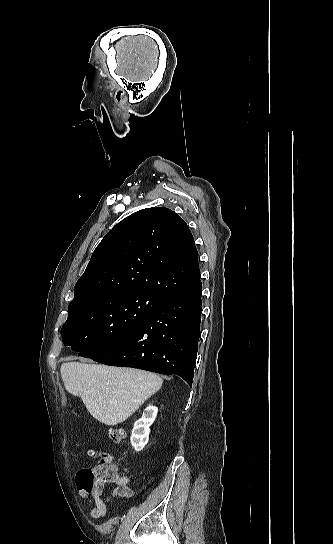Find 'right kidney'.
Returning <instances> with one entry per match:
<instances>
[{
	"label": "right kidney",
	"mask_w": 333,
	"mask_h": 544,
	"mask_svg": "<svg viewBox=\"0 0 333 544\" xmlns=\"http://www.w3.org/2000/svg\"><path fill=\"white\" fill-rule=\"evenodd\" d=\"M158 408L148 405L142 417L134 423L130 442L136 452L143 450L149 441L150 426L156 419Z\"/></svg>",
	"instance_id": "obj_1"
}]
</instances>
